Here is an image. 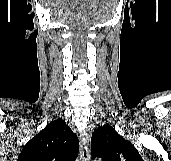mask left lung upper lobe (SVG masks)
<instances>
[{
	"mask_svg": "<svg viewBox=\"0 0 171 161\" xmlns=\"http://www.w3.org/2000/svg\"><path fill=\"white\" fill-rule=\"evenodd\" d=\"M91 153L103 161H143L137 149L106 124L92 134Z\"/></svg>",
	"mask_w": 171,
	"mask_h": 161,
	"instance_id": "5c2ea615",
	"label": "left lung upper lobe"
}]
</instances>
